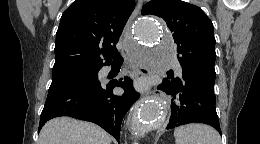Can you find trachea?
Instances as JSON below:
<instances>
[{"label": "trachea", "instance_id": "1", "mask_svg": "<svg viewBox=\"0 0 260 144\" xmlns=\"http://www.w3.org/2000/svg\"><path fill=\"white\" fill-rule=\"evenodd\" d=\"M122 62H123V58L121 55H119V54L114 55L113 63H122Z\"/></svg>", "mask_w": 260, "mask_h": 144}]
</instances>
